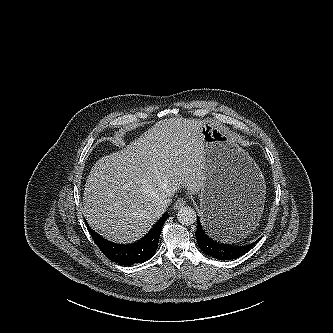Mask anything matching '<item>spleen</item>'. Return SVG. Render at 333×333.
Wrapping results in <instances>:
<instances>
[{
	"label": "spleen",
	"instance_id": "1",
	"mask_svg": "<svg viewBox=\"0 0 333 333\" xmlns=\"http://www.w3.org/2000/svg\"><path fill=\"white\" fill-rule=\"evenodd\" d=\"M258 221H255V217L253 213H251L245 216L244 219L233 222L226 227V229L221 233V239L231 242L242 239L251 232V230L257 225ZM249 223L250 226H248Z\"/></svg>",
	"mask_w": 333,
	"mask_h": 333
}]
</instances>
